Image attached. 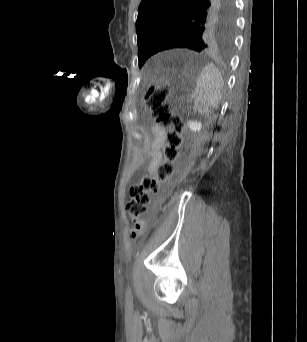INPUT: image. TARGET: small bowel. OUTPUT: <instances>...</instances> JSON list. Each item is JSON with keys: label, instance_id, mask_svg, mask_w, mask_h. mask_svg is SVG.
<instances>
[{"label": "small bowel", "instance_id": "obj_1", "mask_svg": "<svg viewBox=\"0 0 307 342\" xmlns=\"http://www.w3.org/2000/svg\"><path fill=\"white\" fill-rule=\"evenodd\" d=\"M153 139L150 143L149 150L146 154V158H149V164L147 167V172L153 174L155 172L156 165L162 160L161 147L165 140V130L158 127L157 125L152 126Z\"/></svg>", "mask_w": 307, "mask_h": 342}]
</instances>
